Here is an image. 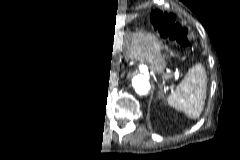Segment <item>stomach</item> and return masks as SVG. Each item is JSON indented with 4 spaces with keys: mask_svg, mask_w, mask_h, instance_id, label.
<instances>
[{
    "mask_svg": "<svg viewBox=\"0 0 240 160\" xmlns=\"http://www.w3.org/2000/svg\"><path fill=\"white\" fill-rule=\"evenodd\" d=\"M111 48L123 52L126 58H142L158 74L163 73L166 68L161 41L154 33L132 31L129 27L121 28L113 33Z\"/></svg>",
    "mask_w": 240,
    "mask_h": 160,
    "instance_id": "stomach-1",
    "label": "stomach"
}]
</instances>
